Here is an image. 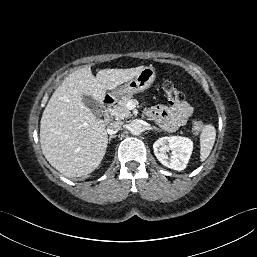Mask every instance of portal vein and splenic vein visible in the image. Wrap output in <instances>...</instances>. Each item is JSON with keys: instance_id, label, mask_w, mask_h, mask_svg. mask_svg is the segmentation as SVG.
Listing matches in <instances>:
<instances>
[{"instance_id": "1", "label": "portal vein and splenic vein", "mask_w": 257, "mask_h": 257, "mask_svg": "<svg viewBox=\"0 0 257 257\" xmlns=\"http://www.w3.org/2000/svg\"><path fill=\"white\" fill-rule=\"evenodd\" d=\"M133 101H130L128 104L132 103Z\"/></svg>"}]
</instances>
